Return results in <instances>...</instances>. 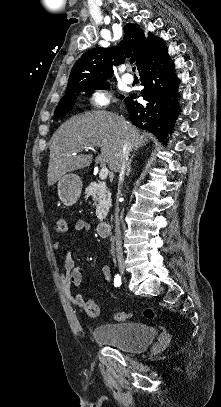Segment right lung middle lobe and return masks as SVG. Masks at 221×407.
<instances>
[{
	"label": "right lung middle lobe",
	"instance_id": "dd1d6c3e",
	"mask_svg": "<svg viewBox=\"0 0 221 407\" xmlns=\"http://www.w3.org/2000/svg\"><path fill=\"white\" fill-rule=\"evenodd\" d=\"M108 88H109V84L104 83V84H100V85L90 87V88H83V89H77V90H72V91L66 92V94L60 100V102L55 110L54 117H56V118L62 117L64 115H66L67 113H69L75 105L78 93L91 92V91L98 90V89H108Z\"/></svg>",
	"mask_w": 221,
	"mask_h": 407
}]
</instances>
